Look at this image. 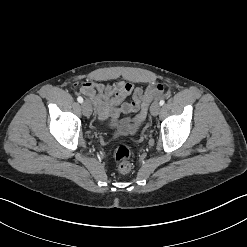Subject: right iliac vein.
Instances as JSON below:
<instances>
[{
	"label": "right iliac vein",
	"instance_id": "obj_1",
	"mask_svg": "<svg viewBox=\"0 0 247 247\" xmlns=\"http://www.w3.org/2000/svg\"><path fill=\"white\" fill-rule=\"evenodd\" d=\"M82 111L85 116H90L92 113L91 104L88 101L83 102Z\"/></svg>",
	"mask_w": 247,
	"mask_h": 247
}]
</instances>
